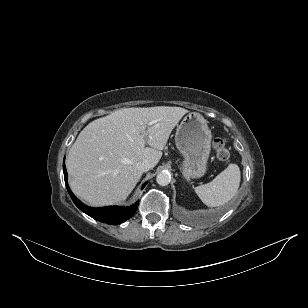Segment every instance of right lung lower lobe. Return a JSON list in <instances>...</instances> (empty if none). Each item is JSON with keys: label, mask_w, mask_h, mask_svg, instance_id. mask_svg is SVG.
Here are the masks:
<instances>
[{"label": "right lung lower lobe", "mask_w": 308, "mask_h": 308, "mask_svg": "<svg viewBox=\"0 0 308 308\" xmlns=\"http://www.w3.org/2000/svg\"><path fill=\"white\" fill-rule=\"evenodd\" d=\"M63 172H64V179L67 187V191L70 194L73 202L75 205L82 210L84 213L89 215L90 217L94 218L103 223L116 225L126 221L127 219L131 218L133 214L136 212L138 203L136 202L134 205L130 207H123V206H108L103 208H91L84 205L75 195L71 192L69 185H68V177L67 171L65 167V158L63 163ZM146 184H144L145 186ZM143 186V187H144Z\"/></svg>", "instance_id": "obj_1"}]
</instances>
